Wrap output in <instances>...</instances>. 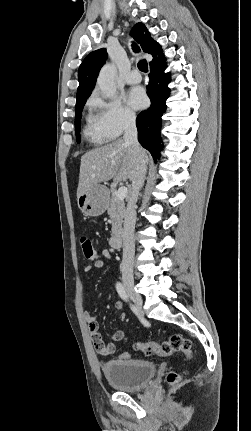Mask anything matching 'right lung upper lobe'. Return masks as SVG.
Listing matches in <instances>:
<instances>
[{"mask_svg":"<svg viewBox=\"0 0 251 431\" xmlns=\"http://www.w3.org/2000/svg\"><path fill=\"white\" fill-rule=\"evenodd\" d=\"M131 35L140 43L144 52L153 56L151 63L165 58L161 46L150 37V34L143 23H137L133 27ZM106 59V49L101 48L91 52L83 60L78 71L79 87L77 90V100L90 96L96 84L98 73Z\"/></svg>","mask_w":251,"mask_h":431,"instance_id":"right-lung-upper-lobe-1","label":"right lung upper lobe"}]
</instances>
